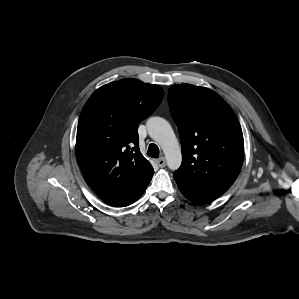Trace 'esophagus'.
Segmentation results:
<instances>
[{
  "label": "esophagus",
  "mask_w": 299,
  "mask_h": 299,
  "mask_svg": "<svg viewBox=\"0 0 299 299\" xmlns=\"http://www.w3.org/2000/svg\"><path fill=\"white\" fill-rule=\"evenodd\" d=\"M156 163L157 165L160 167V168H163L166 166V161H165V158L164 157H161L159 159L156 160Z\"/></svg>",
  "instance_id": "1"
}]
</instances>
